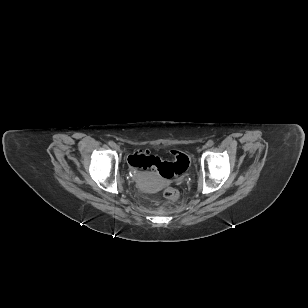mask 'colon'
<instances>
[{
	"instance_id": "obj_1",
	"label": "colon",
	"mask_w": 308,
	"mask_h": 308,
	"mask_svg": "<svg viewBox=\"0 0 308 308\" xmlns=\"http://www.w3.org/2000/svg\"><path fill=\"white\" fill-rule=\"evenodd\" d=\"M173 161H161L150 155L146 151H140L129 158L131 165L141 169H154L165 178H172L175 175L182 174L189 166V159L186 154L180 151H172ZM164 197L171 202L179 199V192L173 187H168L164 191Z\"/></svg>"
}]
</instances>
